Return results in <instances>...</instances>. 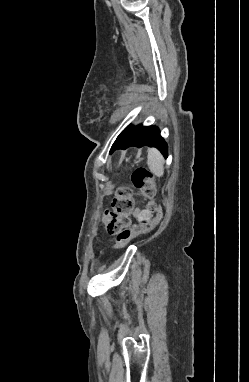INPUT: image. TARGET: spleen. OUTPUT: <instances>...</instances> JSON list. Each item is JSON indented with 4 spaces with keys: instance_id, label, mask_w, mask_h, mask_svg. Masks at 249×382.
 <instances>
[{
    "instance_id": "spleen-1",
    "label": "spleen",
    "mask_w": 249,
    "mask_h": 382,
    "mask_svg": "<svg viewBox=\"0 0 249 382\" xmlns=\"http://www.w3.org/2000/svg\"><path fill=\"white\" fill-rule=\"evenodd\" d=\"M147 164L150 171L161 177L164 174V158L162 154L155 148L149 149Z\"/></svg>"
}]
</instances>
